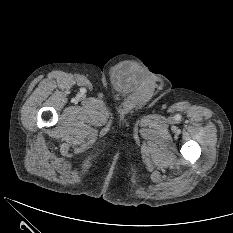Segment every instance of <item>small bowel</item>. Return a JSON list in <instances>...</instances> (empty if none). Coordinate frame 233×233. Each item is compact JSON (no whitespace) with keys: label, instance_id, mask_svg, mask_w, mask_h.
Returning <instances> with one entry per match:
<instances>
[{"label":"small bowel","instance_id":"small-bowel-1","mask_svg":"<svg viewBox=\"0 0 233 233\" xmlns=\"http://www.w3.org/2000/svg\"><path fill=\"white\" fill-rule=\"evenodd\" d=\"M141 79L142 70L132 62L120 63L112 71L113 85L121 93L131 92Z\"/></svg>","mask_w":233,"mask_h":233}]
</instances>
